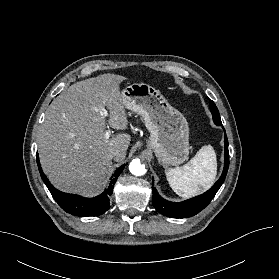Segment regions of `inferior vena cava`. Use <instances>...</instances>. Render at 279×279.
Masks as SVG:
<instances>
[{
  "label": "inferior vena cava",
  "instance_id": "obj_1",
  "mask_svg": "<svg viewBox=\"0 0 279 279\" xmlns=\"http://www.w3.org/2000/svg\"><path fill=\"white\" fill-rule=\"evenodd\" d=\"M120 154H121V151L119 149H114V150L110 151L109 157L116 158V157H119Z\"/></svg>",
  "mask_w": 279,
  "mask_h": 279
}]
</instances>
